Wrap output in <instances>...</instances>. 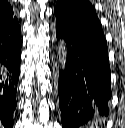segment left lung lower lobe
<instances>
[{
    "instance_id": "1",
    "label": "left lung lower lobe",
    "mask_w": 125,
    "mask_h": 128,
    "mask_svg": "<svg viewBox=\"0 0 125 128\" xmlns=\"http://www.w3.org/2000/svg\"><path fill=\"white\" fill-rule=\"evenodd\" d=\"M57 39L66 45L65 69L58 93L63 128L100 122L109 114L110 66L104 36L56 23Z\"/></svg>"
}]
</instances>
